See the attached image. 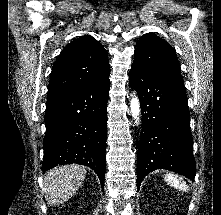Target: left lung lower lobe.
Returning a JSON list of instances; mask_svg holds the SVG:
<instances>
[{
  "mask_svg": "<svg viewBox=\"0 0 221 215\" xmlns=\"http://www.w3.org/2000/svg\"><path fill=\"white\" fill-rule=\"evenodd\" d=\"M132 89L139 95L142 133L137 157V185L155 169H167L190 180L195 177L190 114L183 84L132 65Z\"/></svg>",
  "mask_w": 221,
  "mask_h": 215,
  "instance_id": "1",
  "label": "left lung lower lobe"
}]
</instances>
